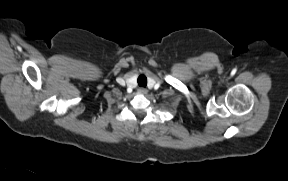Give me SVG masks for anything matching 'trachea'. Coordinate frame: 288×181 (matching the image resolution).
<instances>
[{
    "label": "trachea",
    "instance_id": "1",
    "mask_svg": "<svg viewBox=\"0 0 288 181\" xmlns=\"http://www.w3.org/2000/svg\"><path fill=\"white\" fill-rule=\"evenodd\" d=\"M138 84H139V86L146 87V85H147V79H146V77H145L144 75H140V76L138 77Z\"/></svg>",
    "mask_w": 288,
    "mask_h": 181
}]
</instances>
